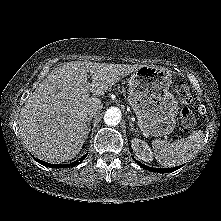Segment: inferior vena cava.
Returning a JSON list of instances; mask_svg holds the SVG:
<instances>
[{"mask_svg":"<svg viewBox=\"0 0 221 221\" xmlns=\"http://www.w3.org/2000/svg\"><path fill=\"white\" fill-rule=\"evenodd\" d=\"M99 111H100L99 107H91L87 110V113L89 117H93L94 115L98 114Z\"/></svg>","mask_w":221,"mask_h":221,"instance_id":"602c4592","label":"inferior vena cava"}]
</instances>
